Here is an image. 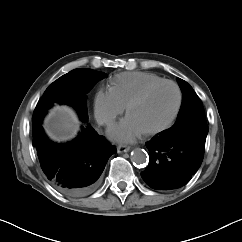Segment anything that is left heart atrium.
I'll return each mask as SVG.
<instances>
[{
  "label": "left heart atrium",
  "instance_id": "obj_1",
  "mask_svg": "<svg viewBox=\"0 0 242 242\" xmlns=\"http://www.w3.org/2000/svg\"><path fill=\"white\" fill-rule=\"evenodd\" d=\"M142 133L143 131L129 116L113 125L108 130L110 138L120 142H131Z\"/></svg>",
  "mask_w": 242,
  "mask_h": 242
}]
</instances>
